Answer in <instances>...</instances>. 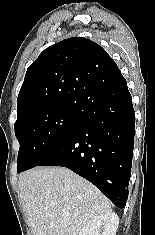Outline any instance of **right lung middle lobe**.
<instances>
[{
	"instance_id": "1",
	"label": "right lung middle lobe",
	"mask_w": 155,
	"mask_h": 235,
	"mask_svg": "<svg viewBox=\"0 0 155 235\" xmlns=\"http://www.w3.org/2000/svg\"><path fill=\"white\" fill-rule=\"evenodd\" d=\"M78 109L44 105L17 117L15 135L20 143L17 172L37 166L81 125Z\"/></svg>"
}]
</instances>
